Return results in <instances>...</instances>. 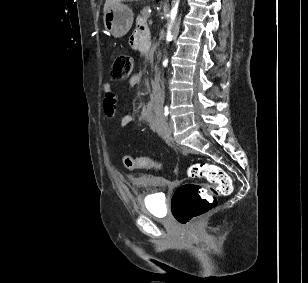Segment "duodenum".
I'll use <instances>...</instances> for the list:
<instances>
[{"label":"duodenum","instance_id":"410a0bca","mask_svg":"<svg viewBox=\"0 0 308 283\" xmlns=\"http://www.w3.org/2000/svg\"><path fill=\"white\" fill-rule=\"evenodd\" d=\"M146 38H141V47L145 50L148 51L150 49V44L152 43V40L145 36Z\"/></svg>","mask_w":308,"mask_h":283}]
</instances>
